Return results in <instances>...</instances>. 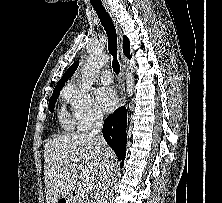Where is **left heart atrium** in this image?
<instances>
[{
    "label": "left heart atrium",
    "mask_w": 222,
    "mask_h": 203,
    "mask_svg": "<svg viewBox=\"0 0 222 203\" xmlns=\"http://www.w3.org/2000/svg\"><path fill=\"white\" fill-rule=\"evenodd\" d=\"M96 99L100 109L111 112L118 102V95L114 88L104 86L96 91Z\"/></svg>",
    "instance_id": "1"
}]
</instances>
